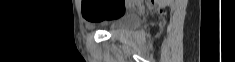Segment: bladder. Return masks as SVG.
<instances>
[{"instance_id":"obj_1","label":"bladder","mask_w":235,"mask_h":62,"mask_svg":"<svg viewBox=\"0 0 235 62\" xmlns=\"http://www.w3.org/2000/svg\"><path fill=\"white\" fill-rule=\"evenodd\" d=\"M138 15L134 11H128L113 19L110 24V30H121L130 28L138 23Z\"/></svg>"}]
</instances>
